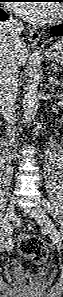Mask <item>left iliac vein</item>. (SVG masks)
Listing matches in <instances>:
<instances>
[{"label": "left iliac vein", "instance_id": "left-iliac-vein-1", "mask_svg": "<svg viewBox=\"0 0 63 297\" xmlns=\"http://www.w3.org/2000/svg\"><path fill=\"white\" fill-rule=\"evenodd\" d=\"M28 213L34 217L37 221L42 222L47 229L50 238L52 239L53 243L59 247L61 245V237L59 231L57 230L55 224L46 214V212L40 206H34L27 210Z\"/></svg>", "mask_w": 63, "mask_h": 297}]
</instances>
